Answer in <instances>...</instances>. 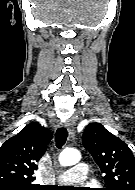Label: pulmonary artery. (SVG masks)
I'll use <instances>...</instances> for the list:
<instances>
[{"label":"pulmonary artery","instance_id":"1","mask_svg":"<svg viewBox=\"0 0 135 190\" xmlns=\"http://www.w3.org/2000/svg\"><path fill=\"white\" fill-rule=\"evenodd\" d=\"M88 177V165L80 162L72 168L58 174L57 181L62 184L79 183L86 180Z\"/></svg>","mask_w":135,"mask_h":190}]
</instances>
